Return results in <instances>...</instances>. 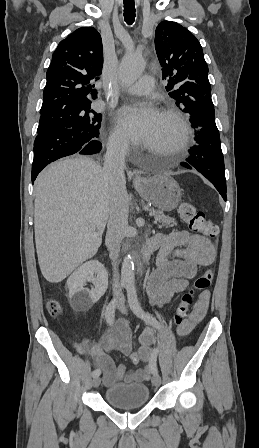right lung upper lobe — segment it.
Wrapping results in <instances>:
<instances>
[{
  "label": "right lung upper lobe",
  "mask_w": 259,
  "mask_h": 448,
  "mask_svg": "<svg viewBox=\"0 0 259 448\" xmlns=\"http://www.w3.org/2000/svg\"><path fill=\"white\" fill-rule=\"evenodd\" d=\"M103 67L101 36L93 27H81L62 40L47 70L40 114L91 105L97 97L94 82Z\"/></svg>",
  "instance_id": "1"
}]
</instances>
